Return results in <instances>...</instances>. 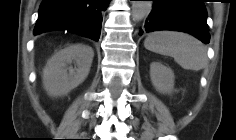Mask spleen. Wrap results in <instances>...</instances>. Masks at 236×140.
Masks as SVG:
<instances>
[{
	"label": "spleen",
	"instance_id": "obj_1",
	"mask_svg": "<svg viewBox=\"0 0 236 140\" xmlns=\"http://www.w3.org/2000/svg\"><path fill=\"white\" fill-rule=\"evenodd\" d=\"M146 49L173 57L186 70L198 71L208 64L207 50L201 41L191 35L174 31H158L149 34Z\"/></svg>",
	"mask_w": 236,
	"mask_h": 140
}]
</instances>
